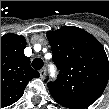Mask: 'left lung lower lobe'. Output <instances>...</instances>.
Returning a JSON list of instances; mask_svg holds the SVG:
<instances>
[{
	"instance_id": "left-lung-lower-lobe-1",
	"label": "left lung lower lobe",
	"mask_w": 109,
	"mask_h": 109,
	"mask_svg": "<svg viewBox=\"0 0 109 109\" xmlns=\"http://www.w3.org/2000/svg\"><path fill=\"white\" fill-rule=\"evenodd\" d=\"M51 95L53 96V98H54L59 104H61V105L64 106V107L71 108V109H83V108H85L84 105L79 104V103H77V102L68 100V99H66V98L57 96V95H55V94H51Z\"/></svg>"
}]
</instances>
